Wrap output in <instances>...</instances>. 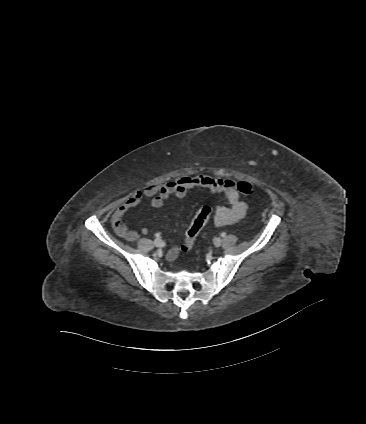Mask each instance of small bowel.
Masks as SVG:
<instances>
[{
  "mask_svg": "<svg viewBox=\"0 0 366 424\" xmlns=\"http://www.w3.org/2000/svg\"><path fill=\"white\" fill-rule=\"evenodd\" d=\"M237 184L230 178L206 174L183 176L166 183L153 184L147 186L143 191H136L126 196L115 210L111 218V225L118 236L126 241L135 242L140 237L139 233L128 229L123 222V216L130 208L137 206L143 197H147L150 199L151 207L159 209L170 196L184 198L194 188H206L223 196L230 205L216 207L214 224L218 227L231 225L244 218L248 211V204L240 199ZM142 233L147 234L148 229L143 228ZM178 253V246L172 248L167 255L168 260H174Z\"/></svg>",
  "mask_w": 366,
  "mask_h": 424,
  "instance_id": "c3829d8e",
  "label": "small bowel"
}]
</instances>
